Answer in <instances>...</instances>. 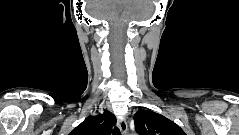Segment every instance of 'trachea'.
<instances>
[{
    "label": "trachea",
    "mask_w": 239,
    "mask_h": 135,
    "mask_svg": "<svg viewBox=\"0 0 239 135\" xmlns=\"http://www.w3.org/2000/svg\"><path fill=\"white\" fill-rule=\"evenodd\" d=\"M113 135H121L119 128H117V127L114 128Z\"/></svg>",
    "instance_id": "trachea-1"
}]
</instances>
